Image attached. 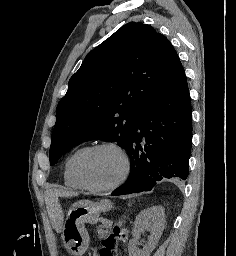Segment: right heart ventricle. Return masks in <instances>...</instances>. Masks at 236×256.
I'll return each mask as SVG.
<instances>
[{"mask_svg":"<svg viewBox=\"0 0 236 256\" xmlns=\"http://www.w3.org/2000/svg\"><path fill=\"white\" fill-rule=\"evenodd\" d=\"M89 149V146H81L70 153L64 161L62 178L64 184L76 190L83 189L77 177V164L80 157Z\"/></svg>","mask_w":236,"mask_h":256,"instance_id":"e07e8e85","label":"right heart ventricle"}]
</instances>
